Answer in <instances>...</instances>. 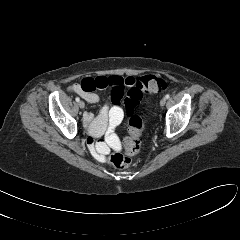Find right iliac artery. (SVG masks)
Masks as SVG:
<instances>
[{
  "mask_svg": "<svg viewBox=\"0 0 240 240\" xmlns=\"http://www.w3.org/2000/svg\"><path fill=\"white\" fill-rule=\"evenodd\" d=\"M75 100H76V102H79V101H80V98H79V97H76Z\"/></svg>",
  "mask_w": 240,
  "mask_h": 240,
  "instance_id": "obj_1",
  "label": "right iliac artery"
}]
</instances>
